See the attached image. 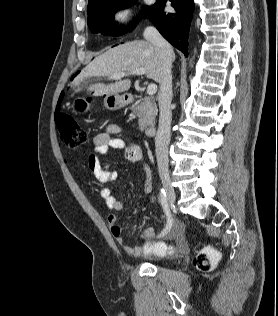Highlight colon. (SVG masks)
<instances>
[{"label":"colon","mask_w":278,"mask_h":316,"mask_svg":"<svg viewBox=\"0 0 278 316\" xmlns=\"http://www.w3.org/2000/svg\"><path fill=\"white\" fill-rule=\"evenodd\" d=\"M56 125L62 144L70 149L83 145L87 140L86 132L80 127L74 118L68 114L59 113L56 117ZM144 250L157 255H170L174 248L163 242L148 243ZM219 260V252L213 247H205L194 257V266L203 272L211 271Z\"/></svg>","instance_id":"obj_1"}]
</instances>
